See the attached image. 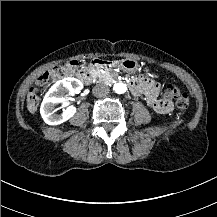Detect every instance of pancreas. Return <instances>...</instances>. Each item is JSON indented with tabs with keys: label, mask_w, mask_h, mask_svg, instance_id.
I'll use <instances>...</instances> for the list:
<instances>
[{
	"label": "pancreas",
	"mask_w": 217,
	"mask_h": 217,
	"mask_svg": "<svg viewBox=\"0 0 217 217\" xmlns=\"http://www.w3.org/2000/svg\"><path fill=\"white\" fill-rule=\"evenodd\" d=\"M109 76H110L109 72H106L104 74L99 75L100 78H106V77H109Z\"/></svg>",
	"instance_id": "cf45deb5"
}]
</instances>
